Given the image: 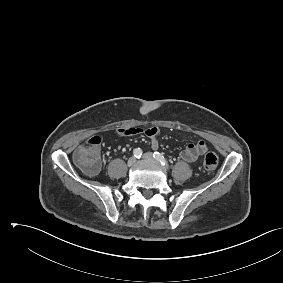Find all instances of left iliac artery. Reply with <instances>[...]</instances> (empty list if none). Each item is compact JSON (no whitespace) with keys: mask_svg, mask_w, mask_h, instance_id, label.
Instances as JSON below:
<instances>
[{"mask_svg":"<svg viewBox=\"0 0 283 283\" xmlns=\"http://www.w3.org/2000/svg\"><path fill=\"white\" fill-rule=\"evenodd\" d=\"M153 157L155 159H157L162 165L168 167V162L166 161V159L164 158V156L162 154H160L159 152H154L153 153Z\"/></svg>","mask_w":283,"mask_h":283,"instance_id":"obj_1","label":"left iliac artery"}]
</instances>
